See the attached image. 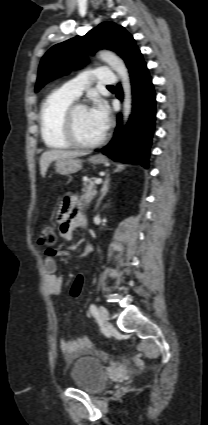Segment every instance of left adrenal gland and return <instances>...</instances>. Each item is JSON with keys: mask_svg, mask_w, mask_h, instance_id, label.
Returning a JSON list of instances; mask_svg holds the SVG:
<instances>
[{"mask_svg": "<svg viewBox=\"0 0 208 425\" xmlns=\"http://www.w3.org/2000/svg\"><path fill=\"white\" fill-rule=\"evenodd\" d=\"M109 181H110V179H109V175L106 177V179H105V181L103 182V186H102V188H101V195H100V198L98 199V201H97V204H96V209L98 208V206L100 205V202L102 201V199L105 197V195L107 194V192H108V189H109Z\"/></svg>", "mask_w": 208, "mask_h": 425, "instance_id": "a2214340", "label": "left adrenal gland"}]
</instances>
